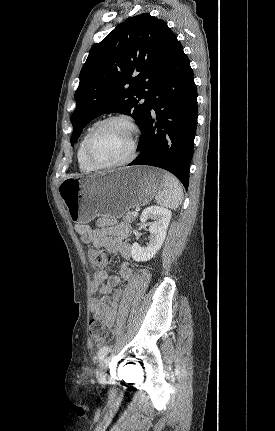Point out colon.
Instances as JSON below:
<instances>
[{
    "instance_id": "colon-1",
    "label": "colon",
    "mask_w": 275,
    "mask_h": 431,
    "mask_svg": "<svg viewBox=\"0 0 275 431\" xmlns=\"http://www.w3.org/2000/svg\"><path fill=\"white\" fill-rule=\"evenodd\" d=\"M89 262L94 270L102 272L110 262V255L103 249H91L88 253ZM89 333L93 342L102 345L107 341L108 332L103 322L92 319L89 325Z\"/></svg>"
}]
</instances>
